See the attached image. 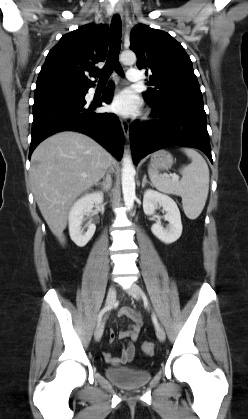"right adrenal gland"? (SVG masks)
<instances>
[{
	"instance_id": "right-adrenal-gland-1",
	"label": "right adrenal gland",
	"mask_w": 248,
	"mask_h": 419,
	"mask_svg": "<svg viewBox=\"0 0 248 419\" xmlns=\"http://www.w3.org/2000/svg\"><path fill=\"white\" fill-rule=\"evenodd\" d=\"M111 183H112V180H111L110 175L108 174L102 182H97V183H95V185L96 186H101L102 191L107 192L111 187Z\"/></svg>"
}]
</instances>
